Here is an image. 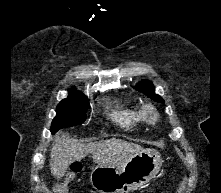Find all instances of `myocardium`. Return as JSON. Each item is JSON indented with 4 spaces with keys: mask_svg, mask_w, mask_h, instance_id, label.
<instances>
[{
    "mask_svg": "<svg viewBox=\"0 0 221 193\" xmlns=\"http://www.w3.org/2000/svg\"><path fill=\"white\" fill-rule=\"evenodd\" d=\"M142 115L149 123H155L159 118L157 109L152 104L144 105Z\"/></svg>",
    "mask_w": 221,
    "mask_h": 193,
    "instance_id": "myocardium-1",
    "label": "myocardium"
}]
</instances>
